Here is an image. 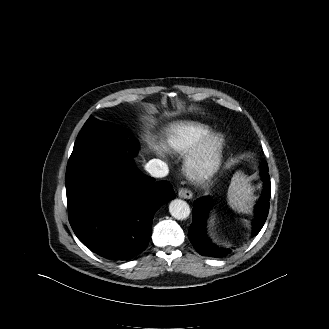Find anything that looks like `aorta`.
<instances>
[{
  "instance_id": "obj_1",
  "label": "aorta",
  "mask_w": 329,
  "mask_h": 329,
  "mask_svg": "<svg viewBox=\"0 0 329 329\" xmlns=\"http://www.w3.org/2000/svg\"><path fill=\"white\" fill-rule=\"evenodd\" d=\"M169 212L175 219L184 220L189 217L191 211L186 201L174 199L169 204Z\"/></svg>"
}]
</instances>
